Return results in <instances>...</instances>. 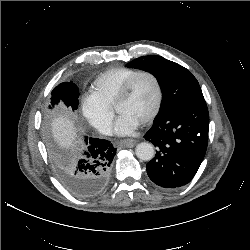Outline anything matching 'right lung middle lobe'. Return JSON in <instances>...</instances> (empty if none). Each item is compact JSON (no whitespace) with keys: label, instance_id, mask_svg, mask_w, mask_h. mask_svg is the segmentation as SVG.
<instances>
[{"label":"right lung middle lobe","instance_id":"right-lung-middle-lobe-1","mask_svg":"<svg viewBox=\"0 0 250 250\" xmlns=\"http://www.w3.org/2000/svg\"><path fill=\"white\" fill-rule=\"evenodd\" d=\"M79 90L73 82H64L59 84L51 92V105L54 107L59 101H63L66 106H71L73 110L78 107Z\"/></svg>","mask_w":250,"mask_h":250}]
</instances>
